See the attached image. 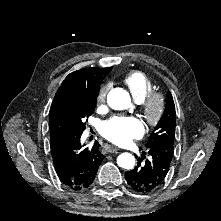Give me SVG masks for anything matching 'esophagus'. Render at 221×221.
Returning a JSON list of instances; mask_svg holds the SVG:
<instances>
[{
  "instance_id": "esophagus-1",
  "label": "esophagus",
  "mask_w": 221,
  "mask_h": 221,
  "mask_svg": "<svg viewBox=\"0 0 221 221\" xmlns=\"http://www.w3.org/2000/svg\"><path fill=\"white\" fill-rule=\"evenodd\" d=\"M104 150H105L106 152H108V153H113V152L118 151L119 148L116 147V146H112V145L106 144V145L104 146Z\"/></svg>"
}]
</instances>
